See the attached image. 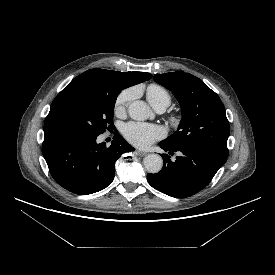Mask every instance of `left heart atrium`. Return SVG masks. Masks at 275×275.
<instances>
[{"instance_id": "obj_1", "label": "left heart atrium", "mask_w": 275, "mask_h": 275, "mask_svg": "<svg viewBox=\"0 0 275 275\" xmlns=\"http://www.w3.org/2000/svg\"><path fill=\"white\" fill-rule=\"evenodd\" d=\"M125 138L134 146L145 148L164 136V130L153 124L130 122L123 129Z\"/></svg>"}]
</instances>
